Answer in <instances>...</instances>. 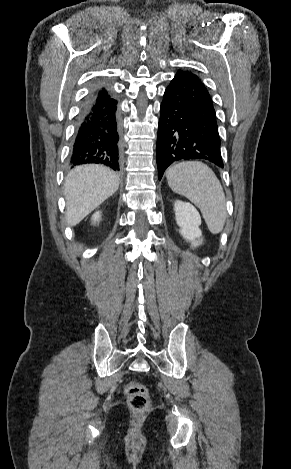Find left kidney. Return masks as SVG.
Returning <instances> with one entry per match:
<instances>
[{
  "instance_id": "left-kidney-1",
  "label": "left kidney",
  "mask_w": 291,
  "mask_h": 469,
  "mask_svg": "<svg viewBox=\"0 0 291 469\" xmlns=\"http://www.w3.org/2000/svg\"><path fill=\"white\" fill-rule=\"evenodd\" d=\"M176 223L180 227V234L183 238L191 242L193 247L202 244V232L199 228L201 217L197 209L188 202L176 200L174 203Z\"/></svg>"
}]
</instances>
